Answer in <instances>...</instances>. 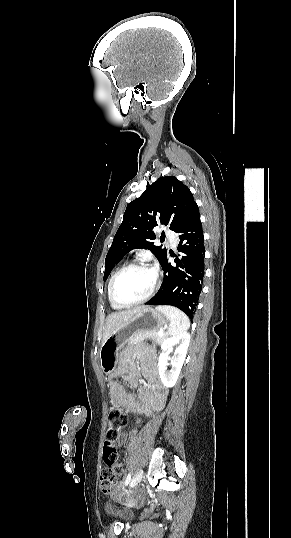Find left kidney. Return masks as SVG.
<instances>
[{"label":"left kidney","instance_id":"5707ae66","mask_svg":"<svg viewBox=\"0 0 291 538\" xmlns=\"http://www.w3.org/2000/svg\"><path fill=\"white\" fill-rule=\"evenodd\" d=\"M190 343V334L187 332L180 333L171 338H167L161 345L162 352L159 356L158 371L160 379L164 386L173 387L179 377L181 368L186 358L188 346ZM176 346L174 354L171 357V370H167L168 359L173 347Z\"/></svg>","mask_w":291,"mask_h":538}]
</instances>
